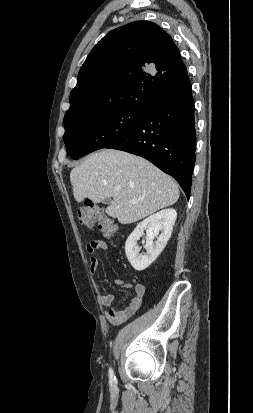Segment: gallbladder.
<instances>
[{
  "label": "gallbladder",
  "instance_id": "obj_1",
  "mask_svg": "<svg viewBox=\"0 0 253 413\" xmlns=\"http://www.w3.org/2000/svg\"><path fill=\"white\" fill-rule=\"evenodd\" d=\"M108 202H109V200H108V199L104 201V203H108Z\"/></svg>",
  "mask_w": 253,
  "mask_h": 413
}]
</instances>
